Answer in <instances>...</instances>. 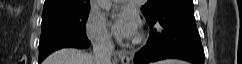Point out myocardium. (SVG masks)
Returning <instances> with one entry per match:
<instances>
[{"label":"myocardium","instance_id":"1","mask_svg":"<svg viewBox=\"0 0 242 64\" xmlns=\"http://www.w3.org/2000/svg\"><path fill=\"white\" fill-rule=\"evenodd\" d=\"M142 39H143V35L140 34L134 39V43H139Z\"/></svg>","mask_w":242,"mask_h":64}]
</instances>
